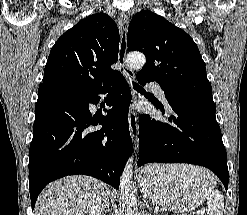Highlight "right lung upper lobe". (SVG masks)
I'll list each match as a JSON object with an SVG mask.
<instances>
[{"mask_svg":"<svg viewBox=\"0 0 247 215\" xmlns=\"http://www.w3.org/2000/svg\"><path fill=\"white\" fill-rule=\"evenodd\" d=\"M119 30L104 13L80 20L52 47L41 85L75 92L94 90L118 71Z\"/></svg>","mask_w":247,"mask_h":215,"instance_id":"cb5924a9","label":"right lung upper lobe"}]
</instances>
